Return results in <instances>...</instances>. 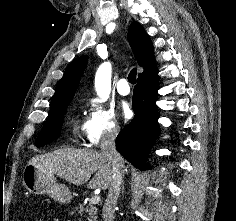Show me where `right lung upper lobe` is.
<instances>
[{
  "mask_svg": "<svg viewBox=\"0 0 236 221\" xmlns=\"http://www.w3.org/2000/svg\"><path fill=\"white\" fill-rule=\"evenodd\" d=\"M128 39L138 65L144 69L143 73H140L139 76L152 72L156 68L153 45L150 37L139 23H131ZM87 62V57L81 56L67 66L52 97L50 110L73 98Z\"/></svg>",
  "mask_w": 236,
  "mask_h": 221,
  "instance_id": "right-lung-upper-lobe-1",
  "label": "right lung upper lobe"
}]
</instances>
